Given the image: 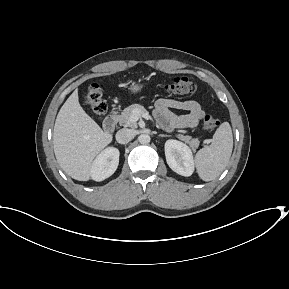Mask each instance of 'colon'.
<instances>
[{
  "label": "colon",
  "mask_w": 289,
  "mask_h": 289,
  "mask_svg": "<svg viewBox=\"0 0 289 289\" xmlns=\"http://www.w3.org/2000/svg\"><path fill=\"white\" fill-rule=\"evenodd\" d=\"M196 83L189 77L179 75L174 77L170 82L163 85V89L175 95H188L196 91ZM86 101L90 109L98 116H102L106 110L107 105L102 98V92L97 84H91L86 93ZM220 124L218 118L212 115L205 116L203 120V128L205 131L212 132Z\"/></svg>",
  "instance_id": "5ec220e1"
}]
</instances>
